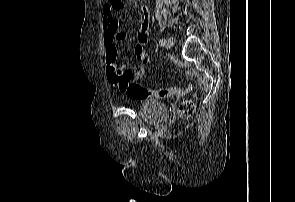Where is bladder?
I'll return each instance as SVG.
<instances>
[{
	"label": "bladder",
	"mask_w": 295,
	"mask_h": 202,
	"mask_svg": "<svg viewBox=\"0 0 295 202\" xmlns=\"http://www.w3.org/2000/svg\"><path fill=\"white\" fill-rule=\"evenodd\" d=\"M138 114L146 123L156 124L166 119L167 107L159 100L144 98L139 107Z\"/></svg>",
	"instance_id": "bladder-1"
}]
</instances>
